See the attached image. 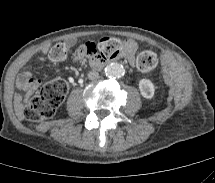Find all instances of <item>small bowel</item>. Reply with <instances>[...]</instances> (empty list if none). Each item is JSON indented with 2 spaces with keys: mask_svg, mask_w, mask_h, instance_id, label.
<instances>
[{
  "mask_svg": "<svg viewBox=\"0 0 215 183\" xmlns=\"http://www.w3.org/2000/svg\"><path fill=\"white\" fill-rule=\"evenodd\" d=\"M137 45L133 40H126L124 44V57L129 61H134V53L136 51ZM47 47L42 48L41 52L46 53ZM86 58V54L79 49L76 54V60L82 61ZM41 81L35 78L32 73L25 69L19 75L17 79V87L22 92V94L15 95V104L18 109H21L25 104L26 100L34 94V92L39 88Z\"/></svg>",
  "mask_w": 215,
  "mask_h": 183,
  "instance_id": "c3829d8e",
  "label": "small bowel"
}]
</instances>
